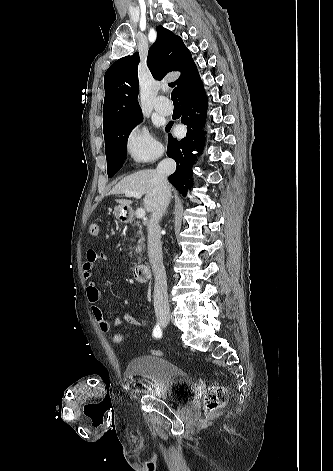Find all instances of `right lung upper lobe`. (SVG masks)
Listing matches in <instances>:
<instances>
[{"label": "right lung upper lobe", "instance_id": "obj_1", "mask_svg": "<svg viewBox=\"0 0 333 471\" xmlns=\"http://www.w3.org/2000/svg\"><path fill=\"white\" fill-rule=\"evenodd\" d=\"M139 61V53L136 52L117 60L106 71L103 131L142 114L137 100ZM147 65L157 80H161L168 72H181L180 77L172 83L173 86L177 85L178 97L199 75L182 39L162 26L157 27V40L148 51Z\"/></svg>", "mask_w": 333, "mask_h": 471}]
</instances>
